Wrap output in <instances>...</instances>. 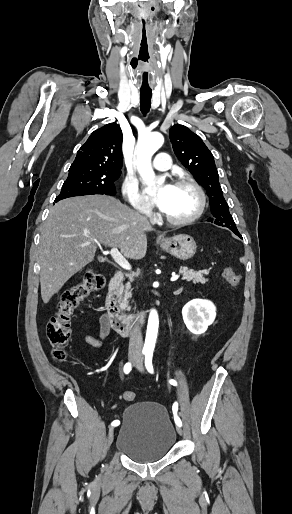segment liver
I'll use <instances>...</instances> for the list:
<instances>
[{
	"instance_id": "1",
	"label": "liver",
	"mask_w": 292,
	"mask_h": 514,
	"mask_svg": "<svg viewBox=\"0 0 292 514\" xmlns=\"http://www.w3.org/2000/svg\"><path fill=\"white\" fill-rule=\"evenodd\" d=\"M149 222L111 196H77L61 200L41 228L39 260L41 298L48 304L65 282L93 262L103 244L120 248L130 260L147 250Z\"/></svg>"
}]
</instances>
